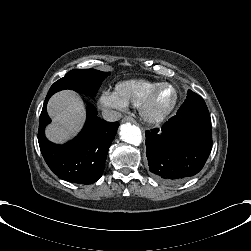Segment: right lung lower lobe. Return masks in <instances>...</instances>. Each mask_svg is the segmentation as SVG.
<instances>
[{
  "mask_svg": "<svg viewBox=\"0 0 251 251\" xmlns=\"http://www.w3.org/2000/svg\"><path fill=\"white\" fill-rule=\"evenodd\" d=\"M44 102L39 119L38 142L49 168L59 178L78 184H92L99 180L104 168L108 149L114 139L118 122H107L97 117L93 105L87 109L86 123L73 140L64 145L50 142L45 137V127L50 123Z\"/></svg>",
  "mask_w": 251,
  "mask_h": 251,
  "instance_id": "1",
  "label": "right lung lower lobe"
}]
</instances>
